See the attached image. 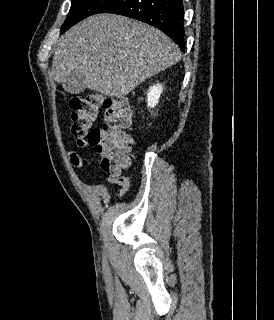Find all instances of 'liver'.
<instances>
[{"mask_svg": "<svg viewBox=\"0 0 274 320\" xmlns=\"http://www.w3.org/2000/svg\"><path fill=\"white\" fill-rule=\"evenodd\" d=\"M181 58L178 46L160 30L125 16L96 14L62 36L52 76L70 94L89 88L122 98Z\"/></svg>", "mask_w": 274, "mask_h": 320, "instance_id": "liver-1", "label": "liver"}]
</instances>
